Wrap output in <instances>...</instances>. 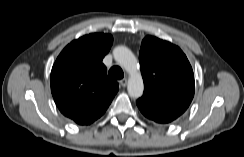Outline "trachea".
Segmentation results:
<instances>
[{
  "label": "trachea",
  "instance_id": "obj_1",
  "mask_svg": "<svg viewBox=\"0 0 244 157\" xmlns=\"http://www.w3.org/2000/svg\"><path fill=\"white\" fill-rule=\"evenodd\" d=\"M108 75L116 80H120L124 77V73L122 71V69L119 66H113L109 72Z\"/></svg>",
  "mask_w": 244,
  "mask_h": 157
}]
</instances>
